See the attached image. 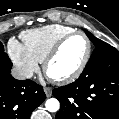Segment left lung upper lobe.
Listing matches in <instances>:
<instances>
[{"label": "left lung upper lobe", "instance_id": "left-lung-upper-lobe-1", "mask_svg": "<svg viewBox=\"0 0 119 119\" xmlns=\"http://www.w3.org/2000/svg\"><path fill=\"white\" fill-rule=\"evenodd\" d=\"M86 35L89 37V39L93 42L95 45V50L92 52V56L89 61H92L96 57L103 54L106 50L111 48L112 46L108 43L96 38L94 35H92L89 31L85 30Z\"/></svg>", "mask_w": 119, "mask_h": 119}]
</instances>
